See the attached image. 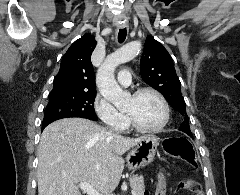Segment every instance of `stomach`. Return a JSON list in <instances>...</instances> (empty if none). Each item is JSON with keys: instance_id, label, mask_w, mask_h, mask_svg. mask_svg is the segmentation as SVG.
Returning a JSON list of instances; mask_svg holds the SVG:
<instances>
[{"instance_id": "1", "label": "stomach", "mask_w": 240, "mask_h": 195, "mask_svg": "<svg viewBox=\"0 0 240 195\" xmlns=\"http://www.w3.org/2000/svg\"><path fill=\"white\" fill-rule=\"evenodd\" d=\"M159 141L156 135H142L141 141L137 143L136 147L130 149L126 161L129 169H138L144 167L148 163H152Z\"/></svg>"}]
</instances>
